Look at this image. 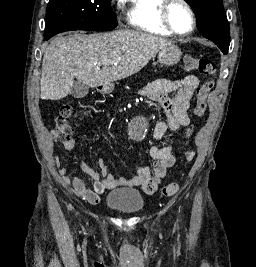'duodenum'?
I'll return each mask as SVG.
<instances>
[{
    "instance_id": "duodenum-1",
    "label": "duodenum",
    "mask_w": 256,
    "mask_h": 267,
    "mask_svg": "<svg viewBox=\"0 0 256 267\" xmlns=\"http://www.w3.org/2000/svg\"><path fill=\"white\" fill-rule=\"evenodd\" d=\"M117 78H108L107 81H100V85L96 86L97 94H113V89L111 86H114V83H117Z\"/></svg>"
}]
</instances>
